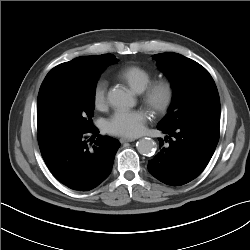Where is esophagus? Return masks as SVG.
I'll use <instances>...</instances> for the list:
<instances>
[{"mask_svg":"<svg viewBox=\"0 0 250 250\" xmlns=\"http://www.w3.org/2000/svg\"><path fill=\"white\" fill-rule=\"evenodd\" d=\"M132 141H135V139L133 138H121L120 139L121 143L132 142Z\"/></svg>","mask_w":250,"mask_h":250,"instance_id":"obj_1","label":"esophagus"}]
</instances>
